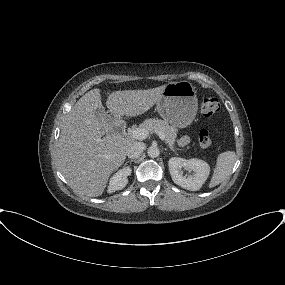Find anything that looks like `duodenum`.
Instances as JSON below:
<instances>
[{"mask_svg": "<svg viewBox=\"0 0 285 285\" xmlns=\"http://www.w3.org/2000/svg\"><path fill=\"white\" fill-rule=\"evenodd\" d=\"M125 128V124L122 120H114L110 125V133L115 136H123Z\"/></svg>", "mask_w": 285, "mask_h": 285, "instance_id": "1", "label": "duodenum"}]
</instances>
